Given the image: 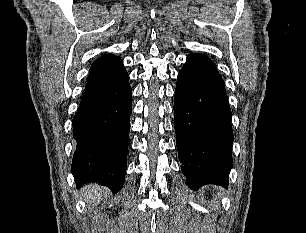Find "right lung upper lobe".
Masks as SVG:
<instances>
[{"label":"right lung upper lobe","mask_w":306,"mask_h":233,"mask_svg":"<svg viewBox=\"0 0 306 233\" xmlns=\"http://www.w3.org/2000/svg\"><path fill=\"white\" fill-rule=\"evenodd\" d=\"M122 60L112 54H106L96 59L89 70L86 88L100 85L124 70Z\"/></svg>","instance_id":"cb5924a9"}]
</instances>
